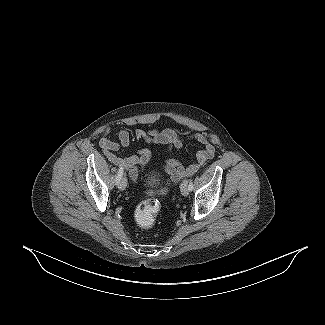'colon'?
Wrapping results in <instances>:
<instances>
[{
	"mask_svg": "<svg viewBox=\"0 0 325 325\" xmlns=\"http://www.w3.org/2000/svg\"><path fill=\"white\" fill-rule=\"evenodd\" d=\"M158 213V201L153 198H148L138 206L134 214V219L141 228H149L153 225Z\"/></svg>",
	"mask_w": 325,
	"mask_h": 325,
	"instance_id": "obj_1",
	"label": "colon"
}]
</instances>
